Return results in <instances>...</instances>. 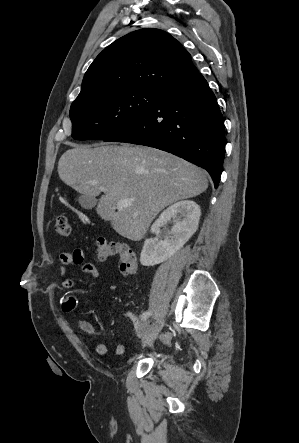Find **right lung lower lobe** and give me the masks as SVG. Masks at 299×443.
<instances>
[{
	"label": "right lung lower lobe",
	"mask_w": 299,
	"mask_h": 443,
	"mask_svg": "<svg viewBox=\"0 0 299 443\" xmlns=\"http://www.w3.org/2000/svg\"><path fill=\"white\" fill-rule=\"evenodd\" d=\"M105 142L154 147L205 168L215 188L224 159V122L216 97L199 72L163 89L143 116Z\"/></svg>",
	"instance_id": "1"
}]
</instances>
